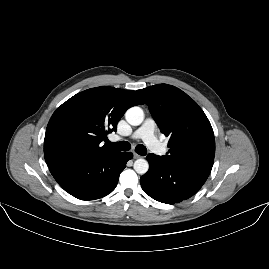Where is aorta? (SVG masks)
I'll return each mask as SVG.
<instances>
[{
    "label": "aorta",
    "instance_id": "762f6f07",
    "mask_svg": "<svg viewBox=\"0 0 269 269\" xmlns=\"http://www.w3.org/2000/svg\"><path fill=\"white\" fill-rule=\"evenodd\" d=\"M125 118L130 125L138 126L144 120V112L142 108L135 106L126 111ZM133 167L138 174H145L149 169V164L145 159H137Z\"/></svg>",
    "mask_w": 269,
    "mask_h": 269
}]
</instances>
